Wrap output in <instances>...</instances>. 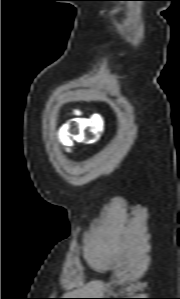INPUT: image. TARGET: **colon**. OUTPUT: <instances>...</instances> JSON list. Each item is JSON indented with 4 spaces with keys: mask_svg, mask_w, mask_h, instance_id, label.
Returning <instances> with one entry per match:
<instances>
[{
    "mask_svg": "<svg viewBox=\"0 0 180 299\" xmlns=\"http://www.w3.org/2000/svg\"><path fill=\"white\" fill-rule=\"evenodd\" d=\"M64 132L69 136V137H76V136H81V138L85 142H92L95 140L97 134L93 132L92 129L90 128H81L80 125L72 121L66 125L64 128Z\"/></svg>",
    "mask_w": 180,
    "mask_h": 299,
    "instance_id": "5ec220e1",
    "label": "colon"
}]
</instances>
